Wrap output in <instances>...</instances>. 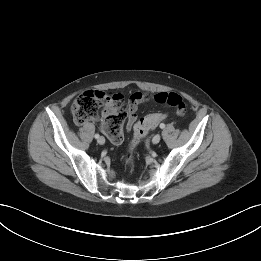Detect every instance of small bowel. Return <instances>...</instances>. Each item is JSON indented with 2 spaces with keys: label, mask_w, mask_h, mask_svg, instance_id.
Returning a JSON list of instances; mask_svg holds the SVG:
<instances>
[{
  "label": "small bowel",
  "mask_w": 261,
  "mask_h": 261,
  "mask_svg": "<svg viewBox=\"0 0 261 261\" xmlns=\"http://www.w3.org/2000/svg\"><path fill=\"white\" fill-rule=\"evenodd\" d=\"M117 96L119 98V101L123 103V101H124L123 95L117 94ZM149 101H156V95L137 91V92H134L130 96L129 101H128V106H127V117H126L127 121H126V125H125L126 131H131L132 128L134 127V125L136 124V121L138 118V115H137L138 106L141 103L149 102ZM109 113H110V110H106L103 113V117L105 118ZM116 145H118V144H116Z\"/></svg>",
  "instance_id": "obj_1"
}]
</instances>
